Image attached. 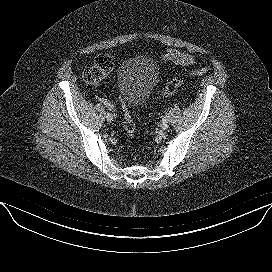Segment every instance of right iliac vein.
Masks as SVG:
<instances>
[{
  "label": "right iliac vein",
  "instance_id": "1",
  "mask_svg": "<svg viewBox=\"0 0 272 272\" xmlns=\"http://www.w3.org/2000/svg\"><path fill=\"white\" fill-rule=\"evenodd\" d=\"M106 120L111 123L113 121V116L110 115V117H106Z\"/></svg>",
  "mask_w": 272,
  "mask_h": 272
}]
</instances>
